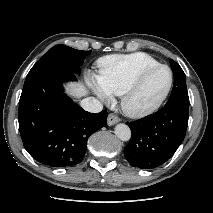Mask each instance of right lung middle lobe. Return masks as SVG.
Here are the masks:
<instances>
[{"instance_id": "dd1d6c3e", "label": "right lung middle lobe", "mask_w": 213, "mask_h": 213, "mask_svg": "<svg viewBox=\"0 0 213 213\" xmlns=\"http://www.w3.org/2000/svg\"><path fill=\"white\" fill-rule=\"evenodd\" d=\"M90 53L91 51L76 50L65 45H56L49 49L32 69L47 65H60L79 74L84 57Z\"/></svg>"}]
</instances>
